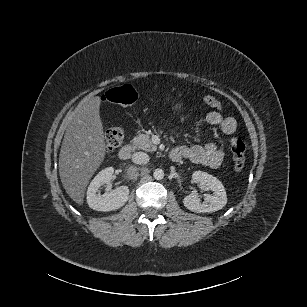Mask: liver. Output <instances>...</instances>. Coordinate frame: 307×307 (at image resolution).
Returning a JSON list of instances; mask_svg holds the SVG:
<instances>
[{
  "label": "liver",
  "instance_id": "obj_1",
  "mask_svg": "<svg viewBox=\"0 0 307 307\" xmlns=\"http://www.w3.org/2000/svg\"><path fill=\"white\" fill-rule=\"evenodd\" d=\"M99 96L83 100L64 119L66 132L59 155V175L66 193L78 205L105 157L103 125Z\"/></svg>",
  "mask_w": 307,
  "mask_h": 307
}]
</instances>
